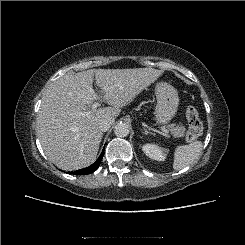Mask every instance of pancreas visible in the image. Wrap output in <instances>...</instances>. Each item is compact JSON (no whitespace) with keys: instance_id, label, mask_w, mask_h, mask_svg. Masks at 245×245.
Segmentation results:
<instances>
[{"instance_id":"1","label":"pancreas","mask_w":245,"mask_h":245,"mask_svg":"<svg viewBox=\"0 0 245 245\" xmlns=\"http://www.w3.org/2000/svg\"><path fill=\"white\" fill-rule=\"evenodd\" d=\"M167 128L171 131L175 138L183 137L185 134V127L182 125L170 124Z\"/></svg>"}]
</instances>
